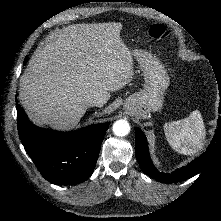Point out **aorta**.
Returning <instances> with one entry per match:
<instances>
[{
    "label": "aorta",
    "mask_w": 221,
    "mask_h": 221,
    "mask_svg": "<svg viewBox=\"0 0 221 221\" xmlns=\"http://www.w3.org/2000/svg\"><path fill=\"white\" fill-rule=\"evenodd\" d=\"M113 132L117 136H125L130 132V125L126 120H118L113 124Z\"/></svg>",
    "instance_id": "obj_1"
}]
</instances>
